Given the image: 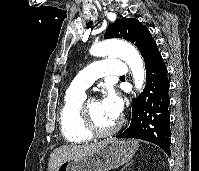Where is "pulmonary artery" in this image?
<instances>
[{
    "label": "pulmonary artery",
    "mask_w": 199,
    "mask_h": 171,
    "mask_svg": "<svg viewBox=\"0 0 199 171\" xmlns=\"http://www.w3.org/2000/svg\"><path fill=\"white\" fill-rule=\"evenodd\" d=\"M128 69L125 63L113 60H98L84 68L74 79L69 88L77 91H85L94 80L103 76H122Z\"/></svg>",
    "instance_id": "1"
}]
</instances>
